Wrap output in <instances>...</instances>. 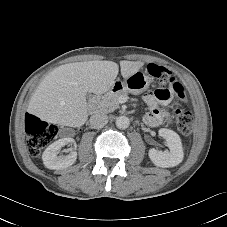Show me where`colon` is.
I'll return each instance as SVG.
<instances>
[{"mask_svg":"<svg viewBox=\"0 0 227 227\" xmlns=\"http://www.w3.org/2000/svg\"><path fill=\"white\" fill-rule=\"evenodd\" d=\"M148 72L158 78L159 88L168 87L182 101L185 100L183 86L177 82L176 78L169 70L156 64H150L148 66ZM174 115L179 131L184 135L191 134L194 122L191 112L181 106H177L174 109ZM25 130L28 134V151L32 156H37L40 151L53 142L58 135V127L56 125L47 123L31 114H27L25 117Z\"/></svg>","mask_w":227,"mask_h":227,"instance_id":"5ec220e1","label":"colon"}]
</instances>
